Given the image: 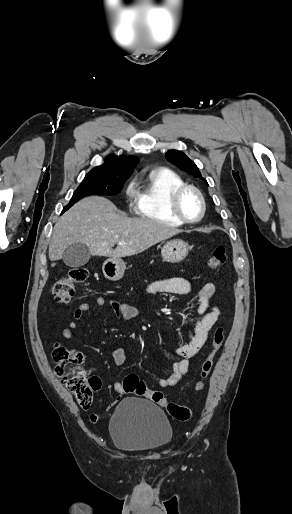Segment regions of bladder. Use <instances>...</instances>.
I'll use <instances>...</instances> for the list:
<instances>
[{
    "instance_id": "31cf9c89",
    "label": "bladder",
    "mask_w": 292,
    "mask_h": 514,
    "mask_svg": "<svg viewBox=\"0 0 292 514\" xmlns=\"http://www.w3.org/2000/svg\"><path fill=\"white\" fill-rule=\"evenodd\" d=\"M114 445L122 451L143 453L156 451L173 438V428L156 404L127 398L116 407L110 420Z\"/></svg>"
}]
</instances>
